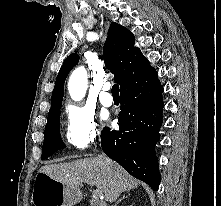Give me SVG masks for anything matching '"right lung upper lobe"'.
<instances>
[{
    "instance_id": "cb5924a9",
    "label": "right lung upper lobe",
    "mask_w": 221,
    "mask_h": 206,
    "mask_svg": "<svg viewBox=\"0 0 221 206\" xmlns=\"http://www.w3.org/2000/svg\"><path fill=\"white\" fill-rule=\"evenodd\" d=\"M134 35L127 28L113 22L104 44V62L106 67L115 74V82L120 89L131 79L150 67L149 61L138 48H134ZM77 54L69 55L64 61L52 93L51 109L61 107L64 95V82L70 70L78 63ZM49 112V113H50Z\"/></svg>"
}]
</instances>
